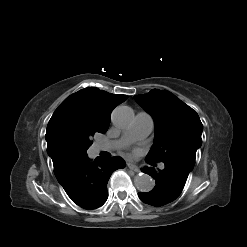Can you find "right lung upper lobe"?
Wrapping results in <instances>:
<instances>
[{"instance_id": "cb5924a9", "label": "right lung upper lobe", "mask_w": 247, "mask_h": 247, "mask_svg": "<svg viewBox=\"0 0 247 247\" xmlns=\"http://www.w3.org/2000/svg\"><path fill=\"white\" fill-rule=\"evenodd\" d=\"M127 99L97 88L79 90L65 99L53 113L46 131L47 152L53 165L87 158V142L105 133L113 108Z\"/></svg>"}]
</instances>
